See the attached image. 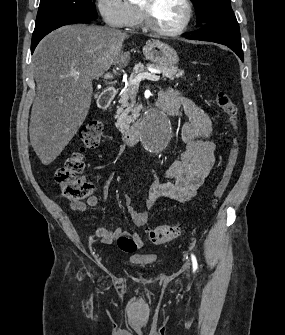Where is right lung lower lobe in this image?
Returning <instances> with one entry per match:
<instances>
[{"label":"right lung lower lobe","instance_id":"right-lung-lower-lobe-1","mask_svg":"<svg viewBox=\"0 0 285 335\" xmlns=\"http://www.w3.org/2000/svg\"><path fill=\"white\" fill-rule=\"evenodd\" d=\"M92 20L94 19L79 15H61L49 19L41 24L35 25V29L32 35L31 53H33L39 41L52 30L64 25L74 23H88Z\"/></svg>","mask_w":285,"mask_h":335}]
</instances>
